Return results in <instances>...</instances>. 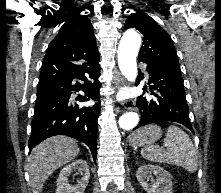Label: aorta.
Returning a JSON list of instances; mask_svg holds the SVG:
<instances>
[{"instance_id":"obj_1","label":"aorta","mask_w":221,"mask_h":193,"mask_svg":"<svg viewBox=\"0 0 221 193\" xmlns=\"http://www.w3.org/2000/svg\"><path fill=\"white\" fill-rule=\"evenodd\" d=\"M141 45V37L134 30H128L122 36L118 46V65L123 76L128 81H134L137 76L136 57ZM139 116L135 112L123 114L119 119V127L130 130L136 127Z\"/></svg>"}]
</instances>
